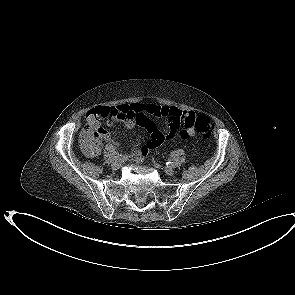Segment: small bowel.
I'll list each match as a JSON object with an SVG mask.
<instances>
[{
  "label": "small bowel",
  "mask_w": 295,
  "mask_h": 295,
  "mask_svg": "<svg viewBox=\"0 0 295 295\" xmlns=\"http://www.w3.org/2000/svg\"><path fill=\"white\" fill-rule=\"evenodd\" d=\"M150 116L164 118L168 125L167 133H163ZM195 113L182 111L172 106H161L155 103L121 104L116 107L100 106L93 108L86 116L87 125L82 131V136L91 139V147L85 150L86 155L96 157L101 153L102 143L107 142L110 148H118V144L111 140L110 134L101 127L100 119H106V125L111 126L115 121H121L126 128L131 129L136 125L145 128L151 136L148 145L142 149H134L130 154L132 159H140L151 147H159L165 142H171L177 135L189 139L193 135V128L187 123ZM184 125V128L181 125Z\"/></svg>",
  "instance_id": "obj_1"
}]
</instances>
